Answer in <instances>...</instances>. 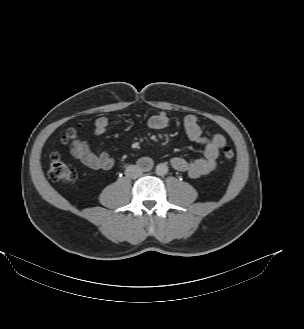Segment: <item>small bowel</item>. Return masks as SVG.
<instances>
[{"label": "small bowel", "mask_w": 304, "mask_h": 329, "mask_svg": "<svg viewBox=\"0 0 304 329\" xmlns=\"http://www.w3.org/2000/svg\"><path fill=\"white\" fill-rule=\"evenodd\" d=\"M169 123V116L164 111H158L148 119V126L152 129H163ZM183 125L189 139L204 146V156L193 161L179 156L173 157L171 159L172 167L179 172L186 173L192 179L204 177L217 168L219 152L226 144V138L222 134L205 136L197 117L192 114L184 117ZM108 127L109 119L101 116L95 121L94 132L97 135H102ZM71 152L77 160L91 169L109 170L114 165L112 157L107 152L93 153L87 141H74Z\"/></svg>", "instance_id": "obj_1"}]
</instances>
